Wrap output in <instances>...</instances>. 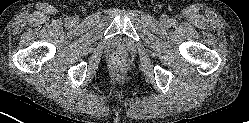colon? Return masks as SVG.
<instances>
[{"label": "colon", "mask_w": 249, "mask_h": 123, "mask_svg": "<svg viewBox=\"0 0 249 123\" xmlns=\"http://www.w3.org/2000/svg\"><path fill=\"white\" fill-rule=\"evenodd\" d=\"M109 67L112 72L121 75L128 68V59L122 52H116L111 56Z\"/></svg>", "instance_id": "5ec220e1"}]
</instances>
